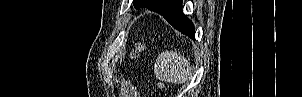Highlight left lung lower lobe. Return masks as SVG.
<instances>
[{"instance_id":"0a47b994","label":"left lung lower lobe","mask_w":302,"mask_h":97,"mask_svg":"<svg viewBox=\"0 0 302 97\" xmlns=\"http://www.w3.org/2000/svg\"><path fill=\"white\" fill-rule=\"evenodd\" d=\"M144 8L161 14L174 28L195 39L194 26L182 12V0H148Z\"/></svg>"}]
</instances>
